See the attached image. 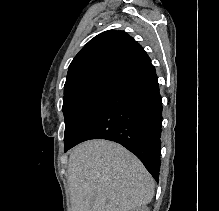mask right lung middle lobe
I'll return each instance as SVG.
<instances>
[{
  "instance_id": "obj_1",
  "label": "right lung middle lobe",
  "mask_w": 219,
  "mask_h": 211,
  "mask_svg": "<svg viewBox=\"0 0 219 211\" xmlns=\"http://www.w3.org/2000/svg\"><path fill=\"white\" fill-rule=\"evenodd\" d=\"M114 87L105 84L96 85L63 100L65 151L71 148L82 129Z\"/></svg>"
}]
</instances>
